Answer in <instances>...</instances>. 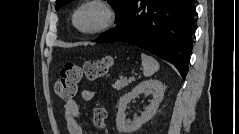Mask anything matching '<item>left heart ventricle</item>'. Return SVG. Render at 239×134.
<instances>
[{
	"label": "left heart ventricle",
	"instance_id": "obj_1",
	"mask_svg": "<svg viewBox=\"0 0 239 134\" xmlns=\"http://www.w3.org/2000/svg\"><path fill=\"white\" fill-rule=\"evenodd\" d=\"M103 19V13L95 7L86 8L78 15V24L83 29H92L98 26Z\"/></svg>",
	"mask_w": 239,
	"mask_h": 134
}]
</instances>
